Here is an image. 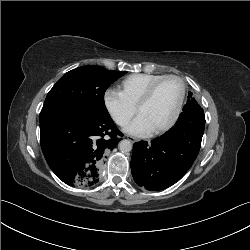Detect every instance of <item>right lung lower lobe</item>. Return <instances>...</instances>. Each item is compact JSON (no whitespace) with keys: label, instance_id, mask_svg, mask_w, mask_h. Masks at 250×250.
<instances>
[{"label":"right lung lower lobe","instance_id":"obj_1","mask_svg":"<svg viewBox=\"0 0 250 250\" xmlns=\"http://www.w3.org/2000/svg\"><path fill=\"white\" fill-rule=\"evenodd\" d=\"M108 113H63L40 122V142L52 171L70 186H93L119 140Z\"/></svg>","mask_w":250,"mask_h":250}]
</instances>
